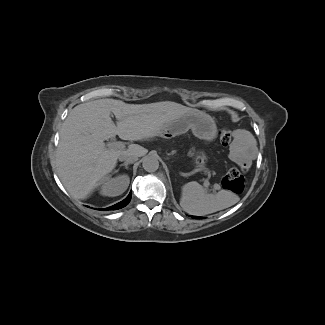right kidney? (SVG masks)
<instances>
[{
  "instance_id": "ca27d5eb",
  "label": "right kidney",
  "mask_w": 325,
  "mask_h": 325,
  "mask_svg": "<svg viewBox=\"0 0 325 325\" xmlns=\"http://www.w3.org/2000/svg\"><path fill=\"white\" fill-rule=\"evenodd\" d=\"M100 194L103 196L115 197L121 195L128 188L129 177L119 175L115 178L105 177L101 181Z\"/></svg>"
}]
</instances>
